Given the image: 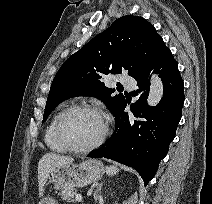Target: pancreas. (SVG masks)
<instances>
[{"instance_id":"cf45deb5","label":"pancreas","mask_w":212,"mask_h":204,"mask_svg":"<svg viewBox=\"0 0 212 204\" xmlns=\"http://www.w3.org/2000/svg\"><path fill=\"white\" fill-rule=\"evenodd\" d=\"M59 195L62 197L64 201L74 203L73 197L76 195V190L74 188H65L62 190Z\"/></svg>"}]
</instances>
